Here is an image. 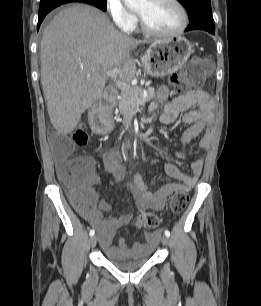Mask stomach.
I'll list each match as a JSON object with an SVG mask.
<instances>
[{
  "mask_svg": "<svg viewBox=\"0 0 261 306\" xmlns=\"http://www.w3.org/2000/svg\"><path fill=\"white\" fill-rule=\"evenodd\" d=\"M193 53V45L181 36L156 40L147 49L142 63L145 74L152 77H164L178 71ZM89 123L93 131L106 134L113 128L110 116L98 113L89 115Z\"/></svg>",
  "mask_w": 261,
  "mask_h": 306,
  "instance_id": "1",
  "label": "stomach"
}]
</instances>
